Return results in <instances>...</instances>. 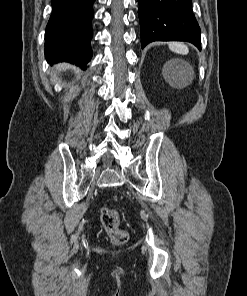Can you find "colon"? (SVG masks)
I'll use <instances>...</instances> for the list:
<instances>
[{"label":"colon","mask_w":247,"mask_h":296,"mask_svg":"<svg viewBox=\"0 0 247 296\" xmlns=\"http://www.w3.org/2000/svg\"><path fill=\"white\" fill-rule=\"evenodd\" d=\"M100 218L103 228L116 244L121 245L127 241V232L120 227V218L116 210L104 207Z\"/></svg>","instance_id":"1"}]
</instances>
